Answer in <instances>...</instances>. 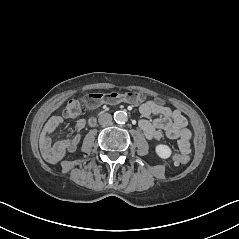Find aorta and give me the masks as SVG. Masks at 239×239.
<instances>
[{"instance_id": "obj_1", "label": "aorta", "mask_w": 239, "mask_h": 239, "mask_svg": "<svg viewBox=\"0 0 239 239\" xmlns=\"http://www.w3.org/2000/svg\"><path fill=\"white\" fill-rule=\"evenodd\" d=\"M114 120L118 124H123V123L127 122L128 115L125 111H116L114 113Z\"/></svg>"}]
</instances>
